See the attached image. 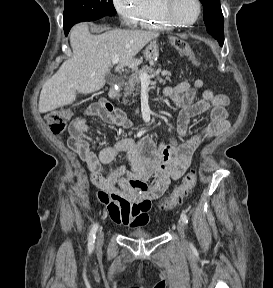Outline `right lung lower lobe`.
Masks as SVG:
<instances>
[{"label": "right lung lower lobe", "mask_w": 273, "mask_h": 288, "mask_svg": "<svg viewBox=\"0 0 273 288\" xmlns=\"http://www.w3.org/2000/svg\"><path fill=\"white\" fill-rule=\"evenodd\" d=\"M64 31H65V34L67 35L69 32V29H64Z\"/></svg>", "instance_id": "98d812e1"}]
</instances>
